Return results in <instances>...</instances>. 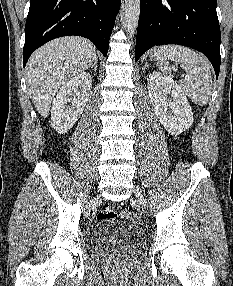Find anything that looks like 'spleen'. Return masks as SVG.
Returning <instances> with one entry per match:
<instances>
[{
	"label": "spleen",
	"instance_id": "1",
	"mask_svg": "<svg viewBox=\"0 0 233 286\" xmlns=\"http://www.w3.org/2000/svg\"><path fill=\"white\" fill-rule=\"evenodd\" d=\"M157 65L165 73L171 71L167 59L179 63L186 71L181 80L183 92L197 105L205 106L212 91V77L207 60L194 50L181 45H163L154 50Z\"/></svg>",
	"mask_w": 233,
	"mask_h": 286
}]
</instances>
